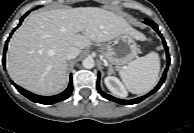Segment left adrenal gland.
<instances>
[{
	"instance_id": "obj_1",
	"label": "left adrenal gland",
	"mask_w": 194,
	"mask_h": 133,
	"mask_svg": "<svg viewBox=\"0 0 194 133\" xmlns=\"http://www.w3.org/2000/svg\"><path fill=\"white\" fill-rule=\"evenodd\" d=\"M114 72V70H113V68L111 67V66H109L108 67V74L110 75V74H112Z\"/></svg>"
}]
</instances>
